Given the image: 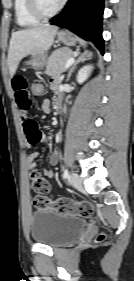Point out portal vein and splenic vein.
<instances>
[{
  "label": "portal vein and splenic vein",
  "instance_id": "18ae733b",
  "mask_svg": "<svg viewBox=\"0 0 134 281\" xmlns=\"http://www.w3.org/2000/svg\"><path fill=\"white\" fill-rule=\"evenodd\" d=\"M74 61H75L74 57H71L70 59H68L67 62L65 63L64 68L70 67L74 63Z\"/></svg>",
  "mask_w": 134,
  "mask_h": 281
}]
</instances>
